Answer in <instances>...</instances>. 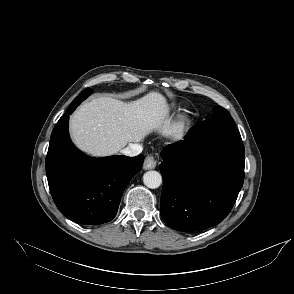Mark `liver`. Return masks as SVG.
<instances>
[{
    "mask_svg": "<svg viewBox=\"0 0 294 294\" xmlns=\"http://www.w3.org/2000/svg\"><path fill=\"white\" fill-rule=\"evenodd\" d=\"M182 128L170 123L168 104L158 92L129 103L101 96L82 104L70 120L75 145L96 157L116 154L153 131L179 138Z\"/></svg>",
    "mask_w": 294,
    "mask_h": 294,
    "instance_id": "6515ba94",
    "label": "liver"
}]
</instances>
